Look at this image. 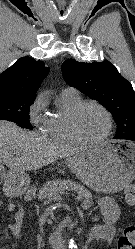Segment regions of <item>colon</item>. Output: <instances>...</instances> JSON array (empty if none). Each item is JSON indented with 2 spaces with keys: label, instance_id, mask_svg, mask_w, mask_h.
<instances>
[{
  "label": "colon",
  "instance_id": "colon-1",
  "mask_svg": "<svg viewBox=\"0 0 135 249\" xmlns=\"http://www.w3.org/2000/svg\"><path fill=\"white\" fill-rule=\"evenodd\" d=\"M125 199L128 205L135 208V183L126 188ZM117 249H135V224L124 228L118 238Z\"/></svg>",
  "mask_w": 135,
  "mask_h": 249
}]
</instances>
